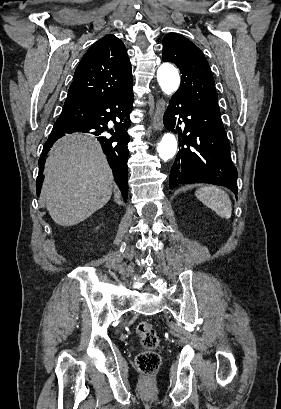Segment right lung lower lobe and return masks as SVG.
Masks as SVG:
<instances>
[{
  "label": "right lung lower lobe",
  "instance_id": "98d812e1",
  "mask_svg": "<svg viewBox=\"0 0 281 409\" xmlns=\"http://www.w3.org/2000/svg\"><path fill=\"white\" fill-rule=\"evenodd\" d=\"M133 102L132 87L105 99L91 103L64 104L60 117H76L77 122L55 123L52 132L44 145L39 159V175L37 178V195L40 194L41 178L44 170V157L53 143L66 133L89 132L97 137L107 155L115 180L120 187L123 198L128 196V147L130 137L127 133L131 125L129 113ZM116 119L118 121H116ZM113 121L115 126L108 127ZM110 133V134H109Z\"/></svg>",
  "mask_w": 281,
  "mask_h": 409
}]
</instances>
